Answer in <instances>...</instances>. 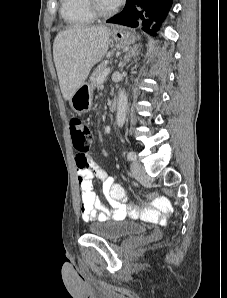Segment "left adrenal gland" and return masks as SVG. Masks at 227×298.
Masks as SVG:
<instances>
[{"instance_id": "left-adrenal-gland-1", "label": "left adrenal gland", "mask_w": 227, "mask_h": 298, "mask_svg": "<svg viewBox=\"0 0 227 298\" xmlns=\"http://www.w3.org/2000/svg\"><path fill=\"white\" fill-rule=\"evenodd\" d=\"M138 48L139 45H135L131 48V50L124 57V64L128 63L132 57H136L139 54Z\"/></svg>"}]
</instances>
